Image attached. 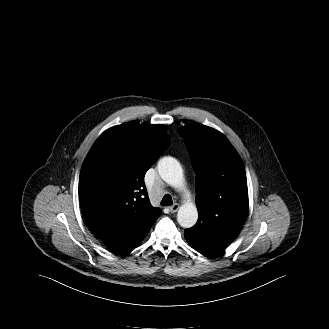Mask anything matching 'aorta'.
I'll return each instance as SVG.
<instances>
[{
  "mask_svg": "<svg viewBox=\"0 0 329 329\" xmlns=\"http://www.w3.org/2000/svg\"><path fill=\"white\" fill-rule=\"evenodd\" d=\"M158 172L161 178L170 186L183 189L184 175L180 163L173 157H163L159 160ZM198 220V211L192 202L184 203L178 210L177 221L183 228L193 227Z\"/></svg>",
  "mask_w": 329,
  "mask_h": 329,
  "instance_id": "762f6f07",
  "label": "aorta"
}]
</instances>
